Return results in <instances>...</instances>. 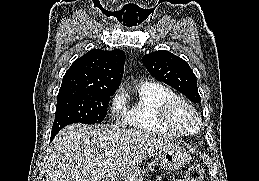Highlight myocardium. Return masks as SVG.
Masks as SVG:
<instances>
[{
  "label": "myocardium",
  "instance_id": "obj_1",
  "mask_svg": "<svg viewBox=\"0 0 259 181\" xmlns=\"http://www.w3.org/2000/svg\"><path fill=\"white\" fill-rule=\"evenodd\" d=\"M187 110L194 120L192 128L184 127L178 120V113L180 110ZM163 122L173 130L179 132L182 135H194L199 132L201 127V118L195 107L188 101L176 98L169 103L163 109L162 112Z\"/></svg>",
  "mask_w": 259,
  "mask_h": 181
}]
</instances>
